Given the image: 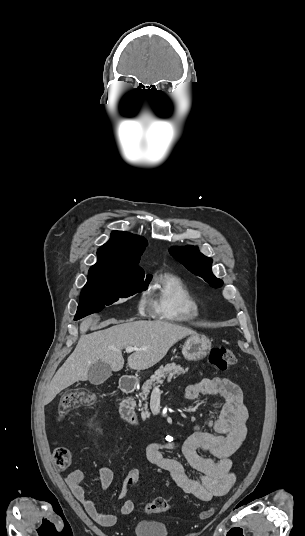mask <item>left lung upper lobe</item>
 <instances>
[{
  "label": "left lung upper lobe",
  "mask_w": 305,
  "mask_h": 536,
  "mask_svg": "<svg viewBox=\"0 0 305 536\" xmlns=\"http://www.w3.org/2000/svg\"><path fill=\"white\" fill-rule=\"evenodd\" d=\"M170 254L179 260L193 274L203 278L213 287L223 284L222 280L216 278L211 270L212 259L204 256L195 246L172 247Z\"/></svg>",
  "instance_id": "5c2ea615"
}]
</instances>
